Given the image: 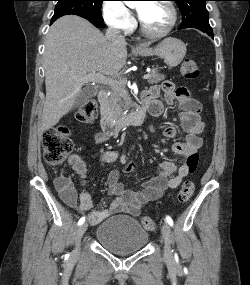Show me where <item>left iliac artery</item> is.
Instances as JSON below:
<instances>
[{"label": "left iliac artery", "instance_id": "obj_1", "mask_svg": "<svg viewBox=\"0 0 250 285\" xmlns=\"http://www.w3.org/2000/svg\"><path fill=\"white\" fill-rule=\"evenodd\" d=\"M166 221L170 226H173V220L170 216H166Z\"/></svg>", "mask_w": 250, "mask_h": 285}]
</instances>
